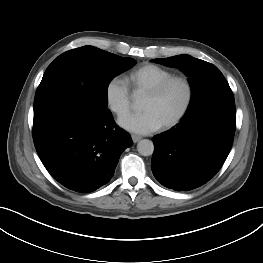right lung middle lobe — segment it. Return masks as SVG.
I'll use <instances>...</instances> for the list:
<instances>
[{
  "label": "right lung middle lobe",
  "instance_id": "dd1d6c3e",
  "mask_svg": "<svg viewBox=\"0 0 263 263\" xmlns=\"http://www.w3.org/2000/svg\"><path fill=\"white\" fill-rule=\"evenodd\" d=\"M136 61L93 46L69 50L46 69L34 99V110L76 102L96 112H108L107 89L111 80Z\"/></svg>",
  "mask_w": 263,
  "mask_h": 263
}]
</instances>
